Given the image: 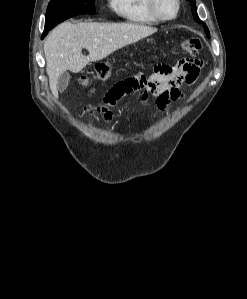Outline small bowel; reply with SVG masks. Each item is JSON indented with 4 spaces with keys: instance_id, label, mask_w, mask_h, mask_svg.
I'll return each mask as SVG.
<instances>
[{
    "instance_id": "small-bowel-1",
    "label": "small bowel",
    "mask_w": 247,
    "mask_h": 299,
    "mask_svg": "<svg viewBox=\"0 0 247 299\" xmlns=\"http://www.w3.org/2000/svg\"><path fill=\"white\" fill-rule=\"evenodd\" d=\"M201 66V61L196 59H183L173 65H157L148 77L138 73L119 81L106 94L103 105L86 107L84 112L90 115L91 126L100 116L111 122L113 112L110 107L122 96L136 90H142L141 100L144 107H147L148 97L152 95L156 97V105L160 110H168L171 103L182 98L181 85H193L196 82Z\"/></svg>"
}]
</instances>
